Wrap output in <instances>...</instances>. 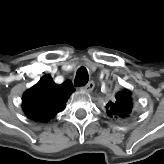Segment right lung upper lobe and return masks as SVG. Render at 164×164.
<instances>
[{"label":"right lung upper lobe","mask_w":164,"mask_h":164,"mask_svg":"<svg viewBox=\"0 0 164 164\" xmlns=\"http://www.w3.org/2000/svg\"><path fill=\"white\" fill-rule=\"evenodd\" d=\"M73 91L71 81L67 80L57 85L50 75H45L24 93L22 99L24 112L33 120L47 122L64 110L66 101Z\"/></svg>","instance_id":"cb5924a9"}]
</instances>
